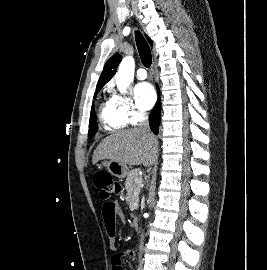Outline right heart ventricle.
<instances>
[{
	"instance_id": "right-heart-ventricle-1",
	"label": "right heart ventricle",
	"mask_w": 267,
	"mask_h": 270,
	"mask_svg": "<svg viewBox=\"0 0 267 270\" xmlns=\"http://www.w3.org/2000/svg\"><path fill=\"white\" fill-rule=\"evenodd\" d=\"M99 120L105 132L120 130L127 124L118 116L110 100L100 105Z\"/></svg>"
}]
</instances>
